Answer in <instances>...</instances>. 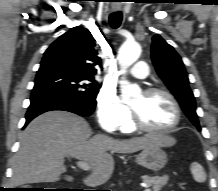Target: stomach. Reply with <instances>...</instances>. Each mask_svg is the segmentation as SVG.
<instances>
[{
  "instance_id": "stomach-1",
  "label": "stomach",
  "mask_w": 218,
  "mask_h": 191,
  "mask_svg": "<svg viewBox=\"0 0 218 191\" xmlns=\"http://www.w3.org/2000/svg\"><path fill=\"white\" fill-rule=\"evenodd\" d=\"M136 163L146 169L159 171L167 164L168 156L160 146L146 147L136 156Z\"/></svg>"
}]
</instances>
